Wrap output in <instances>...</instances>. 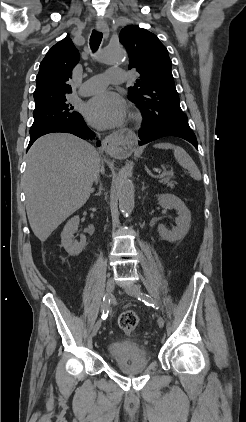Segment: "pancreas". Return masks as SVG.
Masks as SVG:
<instances>
[{
    "mask_svg": "<svg viewBox=\"0 0 246 422\" xmlns=\"http://www.w3.org/2000/svg\"><path fill=\"white\" fill-rule=\"evenodd\" d=\"M170 179H171V176H167V177L161 179L159 182L173 186V182H171Z\"/></svg>",
    "mask_w": 246,
    "mask_h": 422,
    "instance_id": "cf45deb5",
    "label": "pancreas"
}]
</instances>
